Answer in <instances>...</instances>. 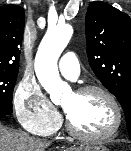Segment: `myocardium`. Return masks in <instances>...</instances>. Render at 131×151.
Listing matches in <instances>:
<instances>
[{
    "label": "myocardium",
    "mask_w": 131,
    "mask_h": 151,
    "mask_svg": "<svg viewBox=\"0 0 131 151\" xmlns=\"http://www.w3.org/2000/svg\"><path fill=\"white\" fill-rule=\"evenodd\" d=\"M74 93L79 95H85L89 93H99L105 96L107 100L110 102L114 110L115 122L113 127L104 134H99V135L88 134L78 130L74 126L68 114L66 113L65 124L69 134L80 140L91 141V142H103L113 138L118 133L123 121L122 108L116 96L110 90L100 85H85L76 89Z\"/></svg>",
    "instance_id": "1"
}]
</instances>
